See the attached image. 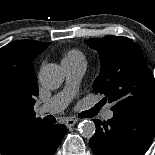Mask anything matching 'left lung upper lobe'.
<instances>
[{
  "instance_id": "obj_1",
  "label": "left lung upper lobe",
  "mask_w": 155,
  "mask_h": 155,
  "mask_svg": "<svg viewBox=\"0 0 155 155\" xmlns=\"http://www.w3.org/2000/svg\"><path fill=\"white\" fill-rule=\"evenodd\" d=\"M87 45L98 50L102 65L93 90L105 95L103 100L113 104V112L155 107V79L133 40L106 36L90 38Z\"/></svg>"
}]
</instances>
